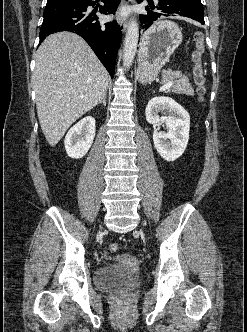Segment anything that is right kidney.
Returning a JSON list of instances; mask_svg holds the SVG:
<instances>
[{
    "label": "right kidney",
    "mask_w": 247,
    "mask_h": 332,
    "mask_svg": "<svg viewBox=\"0 0 247 332\" xmlns=\"http://www.w3.org/2000/svg\"><path fill=\"white\" fill-rule=\"evenodd\" d=\"M95 137V119L87 116L81 119L66 134L64 145L67 155L82 158L89 151Z\"/></svg>",
    "instance_id": "ca27d5eb"
}]
</instances>
